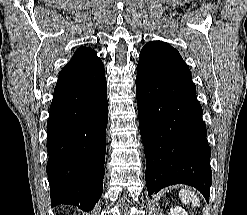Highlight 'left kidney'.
<instances>
[{
	"label": "left kidney",
	"instance_id": "left-kidney-1",
	"mask_svg": "<svg viewBox=\"0 0 247 215\" xmlns=\"http://www.w3.org/2000/svg\"><path fill=\"white\" fill-rule=\"evenodd\" d=\"M169 215H188V213L181 207H174L170 209Z\"/></svg>",
	"mask_w": 247,
	"mask_h": 215
}]
</instances>
